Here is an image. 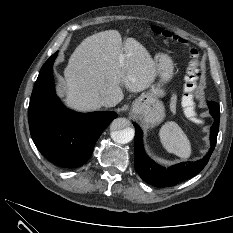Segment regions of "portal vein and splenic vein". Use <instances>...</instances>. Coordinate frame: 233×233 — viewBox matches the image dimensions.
<instances>
[{
  "label": "portal vein and splenic vein",
  "instance_id": "obj_1",
  "mask_svg": "<svg viewBox=\"0 0 233 233\" xmlns=\"http://www.w3.org/2000/svg\"><path fill=\"white\" fill-rule=\"evenodd\" d=\"M119 61H120V63H123V61H124V55L123 54H120Z\"/></svg>",
  "mask_w": 233,
  "mask_h": 233
}]
</instances>
